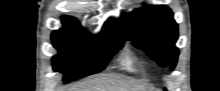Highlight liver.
Returning <instances> with one entry per match:
<instances>
[{"label":"liver","instance_id":"6515ba94","mask_svg":"<svg viewBox=\"0 0 220 91\" xmlns=\"http://www.w3.org/2000/svg\"><path fill=\"white\" fill-rule=\"evenodd\" d=\"M69 91H149V89L143 84L122 77L97 76Z\"/></svg>","mask_w":220,"mask_h":91}]
</instances>
